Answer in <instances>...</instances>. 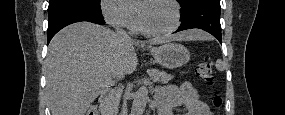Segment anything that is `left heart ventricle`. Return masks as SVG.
Returning <instances> with one entry per match:
<instances>
[{
	"instance_id": "1",
	"label": "left heart ventricle",
	"mask_w": 285,
	"mask_h": 115,
	"mask_svg": "<svg viewBox=\"0 0 285 115\" xmlns=\"http://www.w3.org/2000/svg\"><path fill=\"white\" fill-rule=\"evenodd\" d=\"M142 24L151 31L168 30L174 25V13L165 1L145 2L137 6Z\"/></svg>"
}]
</instances>
